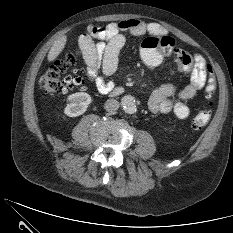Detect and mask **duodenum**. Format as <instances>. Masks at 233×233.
<instances>
[{
  "label": "duodenum",
  "instance_id": "obj_1",
  "mask_svg": "<svg viewBox=\"0 0 233 233\" xmlns=\"http://www.w3.org/2000/svg\"><path fill=\"white\" fill-rule=\"evenodd\" d=\"M120 93H121V90L119 88L113 91V95H118Z\"/></svg>",
  "mask_w": 233,
  "mask_h": 233
}]
</instances>
